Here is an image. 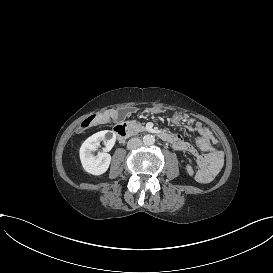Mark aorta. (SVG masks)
<instances>
[{
    "label": "aorta",
    "mask_w": 273,
    "mask_h": 273,
    "mask_svg": "<svg viewBox=\"0 0 273 273\" xmlns=\"http://www.w3.org/2000/svg\"><path fill=\"white\" fill-rule=\"evenodd\" d=\"M154 142H155V138H154L153 135H149L148 134V135H145L143 137V143H144V145L150 146V145H153Z\"/></svg>",
    "instance_id": "1"
}]
</instances>
